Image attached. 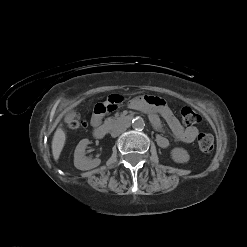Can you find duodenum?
Returning <instances> with one entry per match:
<instances>
[{
	"label": "duodenum",
	"mask_w": 247,
	"mask_h": 247,
	"mask_svg": "<svg viewBox=\"0 0 247 247\" xmlns=\"http://www.w3.org/2000/svg\"><path fill=\"white\" fill-rule=\"evenodd\" d=\"M133 120V116L131 115H123L120 117L110 118L103 124H98L94 127L93 134L95 138L101 139L103 138L108 131L116 126V125H129Z\"/></svg>",
	"instance_id": "duodenum-1"
}]
</instances>
